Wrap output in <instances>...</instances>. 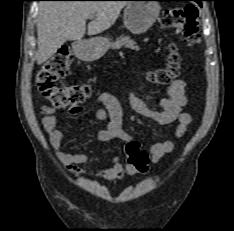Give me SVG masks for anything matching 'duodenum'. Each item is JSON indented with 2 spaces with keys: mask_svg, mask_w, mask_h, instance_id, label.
<instances>
[{
  "mask_svg": "<svg viewBox=\"0 0 234 231\" xmlns=\"http://www.w3.org/2000/svg\"><path fill=\"white\" fill-rule=\"evenodd\" d=\"M77 49H81V46H78Z\"/></svg>",
  "mask_w": 234,
  "mask_h": 231,
  "instance_id": "1",
  "label": "duodenum"
}]
</instances>
